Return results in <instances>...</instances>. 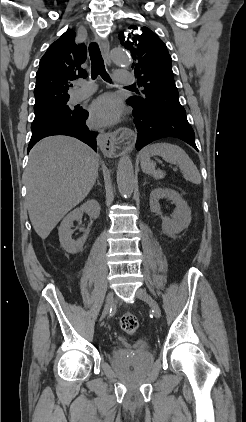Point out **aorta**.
Masks as SVG:
<instances>
[{
	"label": "aorta",
	"mask_w": 246,
	"mask_h": 422,
	"mask_svg": "<svg viewBox=\"0 0 246 422\" xmlns=\"http://www.w3.org/2000/svg\"><path fill=\"white\" fill-rule=\"evenodd\" d=\"M111 58L113 62L121 66H128L131 58L123 49L116 48L112 50ZM117 185L119 192L123 196H130L134 188V168L132 160L128 155H124L118 163Z\"/></svg>",
	"instance_id": "1"
}]
</instances>
